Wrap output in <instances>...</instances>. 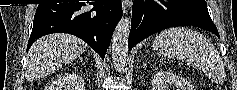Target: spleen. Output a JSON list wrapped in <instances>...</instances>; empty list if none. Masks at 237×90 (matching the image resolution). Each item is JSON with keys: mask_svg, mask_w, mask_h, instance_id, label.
<instances>
[{"mask_svg": "<svg viewBox=\"0 0 237 90\" xmlns=\"http://www.w3.org/2000/svg\"><path fill=\"white\" fill-rule=\"evenodd\" d=\"M154 50L165 52L170 58L187 62L204 74L213 72L218 62V52L207 38L191 28H168L156 36Z\"/></svg>", "mask_w": 237, "mask_h": 90, "instance_id": "spleen-1", "label": "spleen"}]
</instances>
